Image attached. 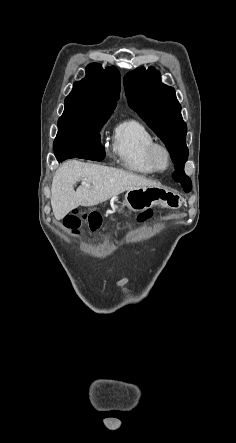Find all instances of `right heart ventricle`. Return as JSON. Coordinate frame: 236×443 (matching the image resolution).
I'll return each instance as SVG.
<instances>
[{
    "label": "right heart ventricle",
    "mask_w": 236,
    "mask_h": 443,
    "mask_svg": "<svg viewBox=\"0 0 236 443\" xmlns=\"http://www.w3.org/2000/svg\"><path fill=\"white\" fill-rule=\"evenodd\" d=\"M155 137L141 122L134 119L122 121L115 129L113 152L117 163L132 172L150 175L156 171L148 160V148Z\"/></svg>",
    "instance_id": "right-heart-ventricle-1"
}]
</instances>
